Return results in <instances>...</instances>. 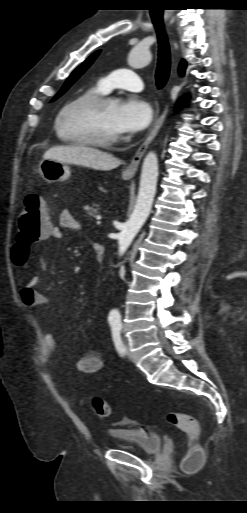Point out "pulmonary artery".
Returning a JSON list of instances; mask_svg holds the SVG:
<instances>
[{"label": "pulmonary artery", "instance_id": "e3ab8cb5", "mask_svg": "<svg viewBox=\"0 0 247 513\" xmlns=\"http://www.w3.org/2000/svg\"><path fill=\"white\" fill-rule=\"evenodd\" d=\"M99 86L104 92L114 88H122L131 91H141L144 84L140 77L131 69H118L109 73L99 81Z\"/></svg>", "mask_w": 247, "mask_h": 513}]
</instances>
